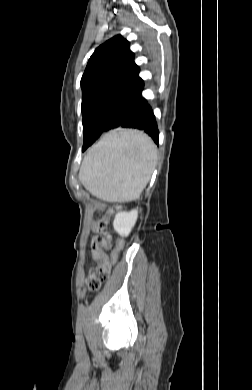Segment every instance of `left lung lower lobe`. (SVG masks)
I'll list each match as a JSON object with an SVG mask.
<instances>
[{
    "instance_id": "left-lung-lower-lobe-1",
    "label": "left lung lower lobe",
    "mask_w": 252,
    "mask_h": 390,
    "mask_svg": "<svg viewBox=\"0 0 252 390\" xmlns=\"http://www.w3.org/2000/svg\"><path fill=\"white\" fill-rule=\"evenodd\" d=\"M143 88L125 103L114 116L104 115L93 119L85 127L82 151H85L103 133L110 129L124 127L143 130L154 140L159 142V130L151 106L142 96Z\"/></svg>"
}]
</instances>
